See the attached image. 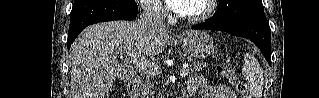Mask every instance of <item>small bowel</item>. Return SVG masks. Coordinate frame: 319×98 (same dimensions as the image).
I'll list each match as a JSON object with an SVG mask.
<instances>
[{
    "label": "small bowel",
    "instance_id": "c3829d8e",
    "mask_svg": "<svg viewBox=\"0 0 319 98\" xmlns=\"http://www.w3.org/2000/svg\"><path fill=\"white\" fill-rule=\"evenodd\" d=\"M189 92L201 91L202 98H236L231 89L223 84L210 85L201 76H195L188 80Z\"/></svg>",
    "mask_w": 319,
    "mask_h": 98
}]
</instances>
